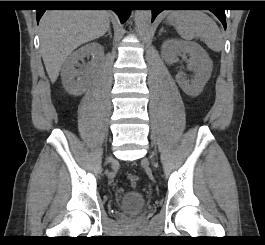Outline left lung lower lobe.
<instances>
[{
  "mask_svg": "<svg viewBox=\"0 0 265 245\" xmlns=\"http://www.w3.org/2000/svg\"><path fill=\"white\" fill-rule=\"evenodd\" d=\"M156 7L152 10V21L156 15L165 10L162 7H188L195 5V1H157ZM211 12L222 22L226 29L225 10L221 8L210 9Z\"/></svg>",
  "mask_w": 265,
  "mask_h": 245,
  "instance_id": "0a47b994",
  "label": "left lung lower lobe"
}]
</instances>
